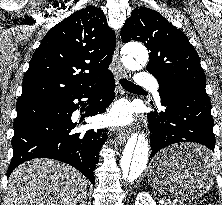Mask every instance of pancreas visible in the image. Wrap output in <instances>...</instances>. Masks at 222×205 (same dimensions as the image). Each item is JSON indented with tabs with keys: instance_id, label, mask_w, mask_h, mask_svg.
Segmentation results:
<instances>
[{
	"instance_id": "cf45deb5",
	"label": "pancreas",
	"mask_w": 222,
	"mask_h": 205,
	"mask_svg": "<svg viewBox=\"0 0 222 205\" xmlns=\"http://www.w3.org/2000/svg\"><path fill=\"white\" fill-rule=\"evenodd\" d=\"M165 205H177L175 202L167 201Z\"/></svg>"
}]
</instances>
